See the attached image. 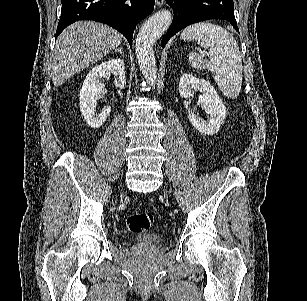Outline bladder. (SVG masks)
I'll list each match as a JSON object with an SVG mask.
<instances>
[{
	"instance_id": "31cf9c89",
	"label": "bladder",
	"mask_w": 307,
	"mask_h": 301,
	"mask_svg": "<svg viewBox=\"0 0 307 301\" xmlns=\"http://www.w3.org/2000/svg\"><path fill=\"white\" fill-rule=\"evenodd\" d=\"M163 235L161 233H151L146 236H136L135 238H129L128 241H132L139 244H159L163 242Z\"/></svg>"
}]
</instances>
